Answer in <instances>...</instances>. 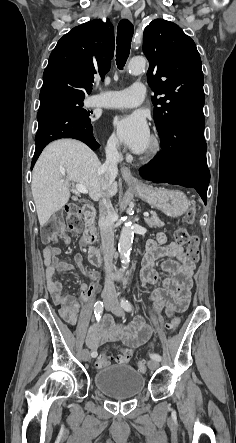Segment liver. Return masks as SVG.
I'll use <instances>...</instances> for the list:
<instances>
[{
    "instance_id": "1",
    "label": "liver",
    "mask_w": 236,
    "mask_h": 443,
    "mask_svg": "<svg viewBox=\"0 0 236 443\" xmlns=\"http://www.w3.org/2000/svg\"><path fill=\"white\" fill-rule=\"evenodd\" d=\"M100 167L97 155L80 141L60 139L46 146L34 166L31 183L40 226L68 202L70 182L84 185L94 201L115 196L117 182L105 189Z\"/></svg>"
}]
</instances>
